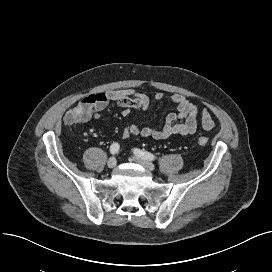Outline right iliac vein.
I'll use <instances>...</instances> for the list:
<instances>
[{
    "label": "right iliac vein",
    "mask_w": 272,
    "mask_h": 272,
    "mask_svg": "<svg viewBox=\"0 0 272 272\" xmlns=\"http://www.w3.org/2000/svg\"><path fill=\"white\" fill-rule=\"evenodd\" d=\"M117 164V161H116V158L115 157H111L109 158V160L107 161V166L110 168V169H113Z\"/></svg>",
    "instance_id": "63e3f726"
}]
</instances>
